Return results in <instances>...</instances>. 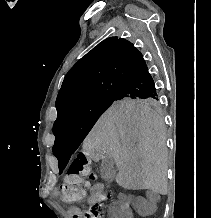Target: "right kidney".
Segmentation results:
<instances>
[{
	"label": "right kidney",
	"instance_id": "1",
	"mask_svg": "<svg viewBox=\"0 0 211 218\" xmlns=\"http://www.w3.org/2000/svg\"><path fill=\"white\" fill-rule=\"evenodd\" d=\"M117 197L123 198V201H114V206H109V217L132 218L131 211L133 210L132 205L135 202V197H130L129 193H118Z\"/></svg>",
	"mask_w": 211,
	"mask_h": 218
}]
</instances>
